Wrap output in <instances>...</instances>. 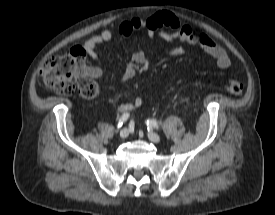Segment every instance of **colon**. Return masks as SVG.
Listing matches in <instances>:
<instances>
[{
  "label": "colon",
  "instance_id": "obj_1",
  "mask_svg": "<svg viewBox=\"0 0 275 215\" xmlns=\"http://www.w3.org/2000/svg\"><path fill=\"white\" fill-rule=\"evenodd\" d=\"M47 87L61 95H71L77 89L86 99H93L99 93L98 84L87 75L85 51L75 47L65 54L48 58L40 71ZM225 89L233 95L244 91V84L236 79H229Z\"/></svg>",
  "mask_w": 275,
  "mask_h": 215
}]
</instances>
